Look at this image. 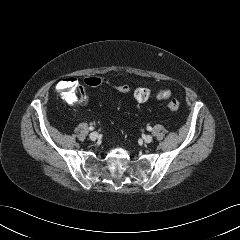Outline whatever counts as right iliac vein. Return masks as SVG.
Here are the masks:
<instances>
[{"label":"right iliac vein","mask_w":240,"mask_h":240,"mask_svg":"<svg viewBox=\"0 0 240 240\" xmlns=\"http://www.w3.org/2000/svg\"><path fill=\"white\" fill-rule=\"evenodd\" d=\"M98 137H99V135H98L97 132H92V133H90V135H89V138H90L92 141L97 140Z\"/></svg>","instance_id":"right-iliac-vein-1"}]
</instances>
